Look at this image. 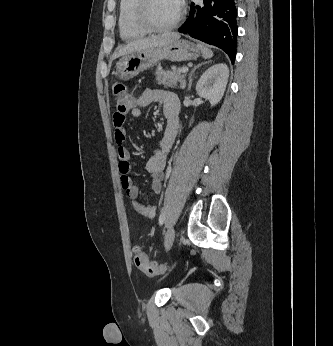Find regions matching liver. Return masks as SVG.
<instances>
[{"label": "liver", "mask_w": 333, "mask_h": 346, "mask_svg": "<svg viewBox=\"0 0 333 346\" xmlns=\"http://www.w3.org/2000/svg\"><path fill=\"white\" fill-rule=\"evenodd\" d=\"M179 38H180V35L174 32L164 33L162 35H153L144 39L130 42L127 45L118 48L115 51L113 57L118 58L120 56L129 54L135 51L163 47L172 43L173 41L178 40Z\"/></svg>", "instance_id": "obj_1"}]
</instances>
